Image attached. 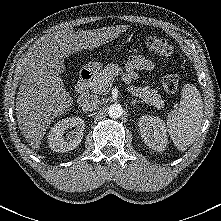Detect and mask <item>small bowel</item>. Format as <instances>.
Masks as SVG:
<instances>
[{
    "instance_id": "small-bowel-1",
    "label": "small bowel",
    "mask_w": 221,
    "mask_h": 221,
    "mask_svg": "<svg viewBox=\"0 0 221 221\" xmlns=\"http://www.w3.org/2000/svg\"><path fill=\"white\" fill-rule=\"evenodd\" d=\"M126 73L130 79L137 77V71H152L155 63L144 56H132L125 63Z\"/></svg>"
}]
</instances>
